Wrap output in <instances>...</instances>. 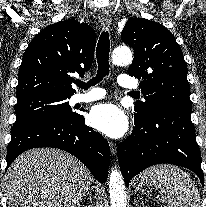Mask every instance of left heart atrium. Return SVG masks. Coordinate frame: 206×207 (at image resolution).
<instances>
[{
	"mask_svg": "<svg viewBox=\"0 0 206 207\" xmlns=\"http://www.w3.org/2000/svg\"><path fill=\"white\" fill-rule=\"evenodd\" d=\"M91 125L111 138L124 136L129 129L126 113L114 103L94 106L89 114Z\"/></svg>",
	"mask_w": 206,
	"mask_h": 207,
	"instance_id": "39dd6f15",
	"label": "left heart atrium"
}]
</instances>
